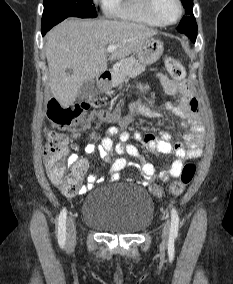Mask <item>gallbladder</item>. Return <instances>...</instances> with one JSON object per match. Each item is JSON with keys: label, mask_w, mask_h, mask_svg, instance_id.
Masks as SVG:
<instances>
[{"label": "gallbladder", "mask_w": 233, "mask_h": 284, "mask_svg": "<svg viewBox=\"0 0 233 284\" xmlns=\"http://www.w3.org/2000/svg\"><path fill=\"white\" fill-rule=\"evenodd\" d=\"M96 91L95 82L93 79L84 81L78 92V99L84 100L90 97Z\"/></svg>", "instance_id": "1"}]
</instances>
